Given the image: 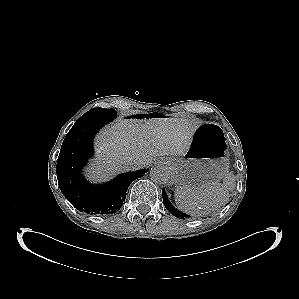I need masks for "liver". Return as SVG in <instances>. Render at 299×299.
I'll list each match as a JSON object with an SVG mask.
<instances>
[{
    "label": "liver",
    "instance_id": "obj_1",
    "mask_svg": "<svg viewBox=\"0 0 299 299\" xmlns=\"http://www.w3.org/2000/svg\"><path fill=\"white\" fill-rule=\"evenodd\" d=\"M200 124L188 118L120 119L97 135V159L89 178L100 182L132 170L129 164L133 161L146 166L156 157L181 156Z\"/></svg>",
    "mask_w": 299,
    "mask_h": 299
}]
</instances>
